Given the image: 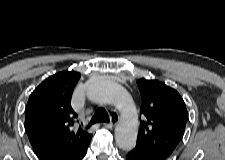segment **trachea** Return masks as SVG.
<instances>
[{"instance_id":"obj_1","label":"trachea","mask_w":225,"mask_h":160,"mask_svg":"<svg viewBox=\"0 0 225 160\" xmlns=\"http://www.w3.org/2000/svg\"><path fill=\"white\" fill-rule=\"evenodd\" d=\"M98 122H106L108 123L109 122V116H108V113L107 111L104 109V108H98L95 112V114L93 115L90 123H89V126L95 124V123H98Z\"/></svg>"}]
</instances>
